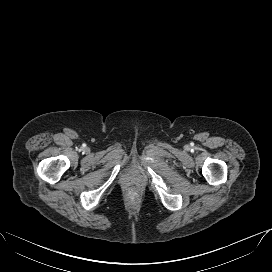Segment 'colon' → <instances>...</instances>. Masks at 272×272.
I'll return each instance as SVG.
<instances>
[{
  "instance_id": "1",
  "label": "colon",
  "mask_w": 272,
  "mask_h": 272,
  "mask_svg": "<svg viewBox=\"0 0 272 272\" xmlns=\"http://www.w3.org/2000/svg\"><path fill=\"white\" fill-rule=\"evenodd\" d=\"M127 197L130 201H136L139 198V193L137 190L132 189L128 192Z\"/></svg>"
}]
</instances>
